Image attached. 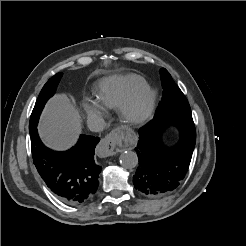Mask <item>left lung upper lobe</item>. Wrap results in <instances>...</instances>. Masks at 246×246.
I'll use <instances>...</instances> for the list:
<instances>
[{"label":"left lung upper lobe","instance_id":"1","mask_svg":"<svg viewBox=\"0 0 246 246\" xmlns=\"http://www.w3.org/2000/svg\"><path fill=\"white\" fill-rule=\"evenodd\" d=\"M163 97L156 110L158 118L192 117L189 103L166 69H161Z\"/></svg>","mask_w":246,"mask_h":246}]
</instances>
